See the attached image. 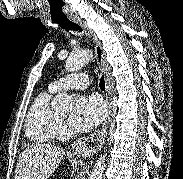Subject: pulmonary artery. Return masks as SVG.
Returning a JSON list of instances; mask_svg holds the SVG:
<instances>
[{"label": "pulmonary artery", "mask_w": 183, "mask_h": 179, "mask_svg": "<svg viewBox=\"0 0 183 179\" xmlns=\"http://www.w3.org/2000/svg\"><path fill=\"white\" fill-rule=\"evenodd\" d=\"M89 85V77L85 73H74L60 78L51 83L50 88L53 91L62 89H85Z\"/></svg>", "instance_id": "e3ab8cb5"}]
</instances>
